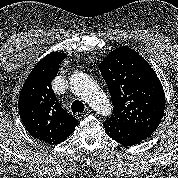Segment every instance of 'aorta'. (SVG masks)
<instances>
[{
    "mask_svg": "<svg viewBox=\"0 0 178 178\" xmlns=\"http://www.w3.org/2000/svg\"><path fill=\"white\" fill-rule=\"evenodd\" d=\"M71 90L85 100L99 114L107 116L111 113V105L105 93L97 83L84 73H75L70 78Z\"/></svg>",
    "mask_w": 178,
    "mask_h": 178,
    "instance_id": "1",
    "label": "aorta"
}]
</instances>
